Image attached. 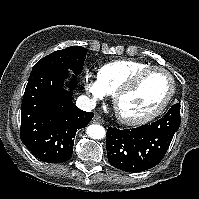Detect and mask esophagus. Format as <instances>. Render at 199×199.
Returning a JSON list of instances; mask_svg holds the SVG:
<instances>
[{
	"instance_id": "34e87169",
	"label": "esophagus",
	"mask_w": 199,
	"mask_h": 199,
	"mask_svg": "<svg viewBox=\"0 0 199 199\" xmlns=\"http://www.w3.org/2000/svg\"><path fill=\"white\" fill-rule=\"evenodd\" d=\"M92 122L95 124H103L104 120L99 115H95L92 119Z\"/></svg>"
}]
</instances>
